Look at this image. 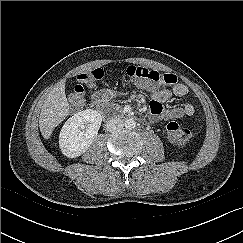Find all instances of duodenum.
I'll return each mask as SVG.
<instances>
[{"mask_svg": "<svg viewBox=\"0 0 243 243\" xmlns=\"http://www.w3.org/2000/svg\"><path fill=\"white\" fill-rule=\"evenodd\" d=\"M98 104H105L106 100H98L96 101Z\"/></svg>", "mask_w": 243, "mask_h": 243, "instance_id": "duodenum-1", "label": "duodenum"}]
</instances>
